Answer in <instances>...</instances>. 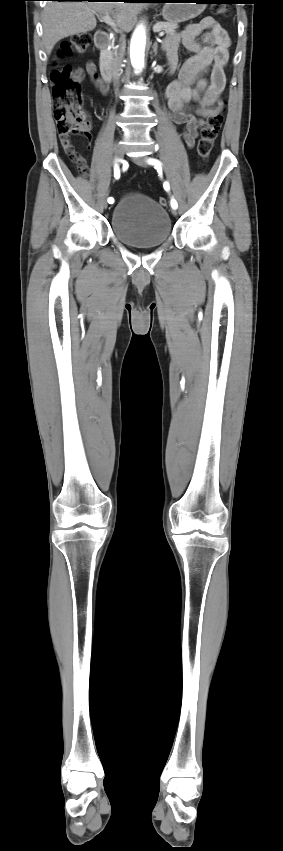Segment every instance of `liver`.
I'll use <instances>...</instances> for the list:
<instances>
[{"mask_svg":"<svg viewBox=\"0 0 283 851\" xmlns=\"http://www.w3.org/2000/svg\"><path fill=\"white\" fill-rule=\"evenodd\" d=\"M147 5L132 2L48 1L42 14L43 43L47 55L60 40L93 30L95 14H111L121 31L129 32L137 14Z\"/></svg>","mask_w":283,"mask_h":851,"instance_id":"1","label":"liver"}]
</instances>
